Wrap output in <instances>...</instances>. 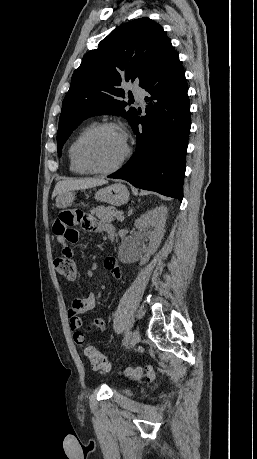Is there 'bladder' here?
<instances>
[{"label":"bladder","mask_w":257,"mask_h":459,"mask_svg":"<svg viewBox=\"0 0 257 459\" xmlns=\"http://www.w3.org/2000/svg\"><path fill=\"white\" fill-rule=\"evenodd\" d=\"M122 392L125 395H133L134 394V391L132 389H130V388H126Z\"/></svg>","instance_id":"bladder-1"}]
</instances>
